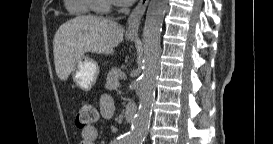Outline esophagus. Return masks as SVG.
I'll list each match as a JSON object with an SVG mask.
<instances>
[{
    "instance_id": "esophagus-1",
    "label": "esophagus",
    "mask_w": 273,
    "mask_h": 144,
    "mask_svg": "<svg viewBox=\"0 0 273 144\" xmlns=\"http://www.w3.org/2000/svg\"><path fill=\"white\" fill-rule=\"evenodd\" d=\"M149 0H140L128 18L127 35L137 36L142 17L146 11Z\"/></svg>"
}]
</instances>
